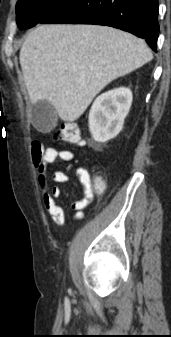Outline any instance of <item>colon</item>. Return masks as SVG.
I'll list each match as a JSON object with an SVG mask.
<instances>
[{"mask_svg":"<svg viewBox=\"0 0 171 337\" xmlns=\"http://www.w3.org/2000/svg\"><path fill=\"white\" fill-rule=\"evenodd\" d=\"M52 138L55 142L69 143L73 145H83L84 141L81 132L76 124L66 123L62 128L55 130L52 133ZM93 190L101 195L106 187L105 181L101 177H96L92 180Z\"/></svg>","mask_w":171,"mask_h":337,"instance_id":"colon-1","label":"colon"}]
</instances>
